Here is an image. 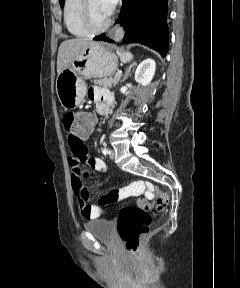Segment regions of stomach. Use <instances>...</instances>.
<instances>
[{
  "label": "stomach",
  "mask_w": 240,
  "mask_h": 288,
  "mask_svg": "<svg viewBox=\"0 0 240 288\" xmlns=\"http://www.w3.org/2000/svg\"><path fill=\"white\" fill-rule=\"evenodd\" d=\"M117 56L104 44L93 42L56 79V93L65 109L77 107L87 94L86 79L112 76Z\"/></svg>",
  "instance_id": "0dacf381"
}]
</instances>
